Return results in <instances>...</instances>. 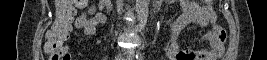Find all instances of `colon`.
<instances>
[{
  "instance_id": "obj_1",
  "label": "colon",
  "mask_w": 267,
  "mask_h": 60,
  "mask_svg": "<svg viewBox=\"0 0 267 60\" xmlns=\"http://www.w3.org/2000/svg\"><path fill=\"white\" fill-rule=\"evenodd\" d=\"M86 0H57L56 13L51 28L46 35L45 53L50 60H70L65 49V41L72 30L76 4H86ZM211 2V1H206ZM82 26H86L82 23Z\"/></svg>"
}]
</instances>
